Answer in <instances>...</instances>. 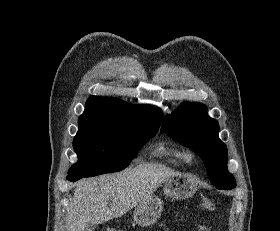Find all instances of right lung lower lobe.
Returning <instances> with one entry per match:
<instances>
[{"label":"right lung lower lobe","mask_w":280,"mask_h":231,"mask_svg":"<svg viewBox=\"0 0 280 231\" xmlns=\"http://www.w3.org/2000/svg\"><path fill=\"white\" fill-rule=\"evenodd\" d=\"M81 178H83V176H80V175H68V177H67V179L72 182H75Z\"/></svg>","instance_id":"obj_1"}]
</instances>
